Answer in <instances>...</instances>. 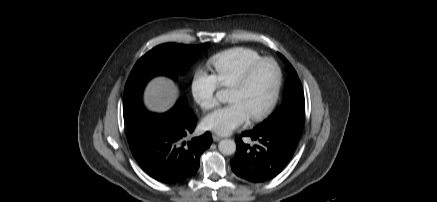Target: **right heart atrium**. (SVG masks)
Here are the masks:
<instances>
[{"mask_svg":"<svg viewBox=\"0 0 437 202\" xmlns=\"http://www.w3.org/2000/svg\"><path fill=\"white\" fill-rule=\"evenodd\" d=\"M220 84L216 76L203 67H198L192 77L191 94L194 101L204 110L216 106V92Z\"/></svg>","mask_w":437,"mask_h":202,"instance_id":"right-heart-atrium-1","label":"right heart atrium"}]
</instances>
